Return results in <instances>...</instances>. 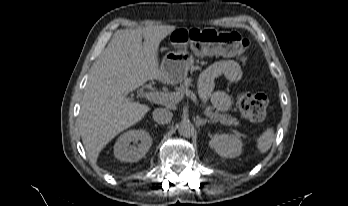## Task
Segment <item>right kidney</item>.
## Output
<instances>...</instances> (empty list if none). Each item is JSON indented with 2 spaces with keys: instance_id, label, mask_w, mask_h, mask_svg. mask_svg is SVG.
<instances>
[{
  "instance_id": "1",
  "label": "right kidney",
  "mask_w": 348,
  "mask_h": 206,
  "mask_svg": "<svg viewBox=\"0 0 348 206\" xmlns=\"http://www.w3.org/2000/svg\"><path fill=\"white\" fill-rule=\"evenodd\" d=\"M133 143V145H131ZM152 145L150 134L144 130H129L123 133L114 145V155L122 162H137Z\"/></svg>"
}]
</instances>
